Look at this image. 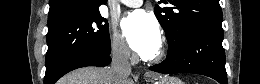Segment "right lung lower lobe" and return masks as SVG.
Returning <instances> with one entry per match:
<instances>
[{
  "mask_svg": "<svg viewBox=\"0 0 260 84\" xmlns=\"http://www.w3.org/2000/svg\"><path fill=\"white\" fill-rule=\"evenodd\" d=\"M111 62L109 55L98 53H82L64 60L52 73L45 74L44 84H55L66 73L86 66H107Z\"/></svg>",
  "mask_w": 260,
  "mask_h": 84,
  "instance_id": "1",
  "label": "right lung lower lobe"
}]
</instances>
